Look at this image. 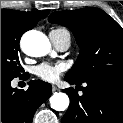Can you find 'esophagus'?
Instances as JSON below:
<instances>
[{
	"label": "esophagus",
	"instance_id": "1",
	"mask_svg": "<svg viewBox=\"0 0 123 123\" xmlns=\"http://www.w3.org/2000/svg\"><path fill=\"white\" fill-rule=\"evenodd\" d=\"M58 90V88L55 86V85H53L52 86V92H55V91H57Z\"/></svg>",
	"mask_w": 123,
	"mask_h": 123
}]
</instances>
